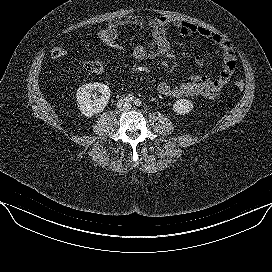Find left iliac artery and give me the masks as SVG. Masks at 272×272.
<instances>
[{
	"label": "left iliac artery",
	"instance_id": "1",
	"mask_svg": "<svg viewBox=\"0 0 272 272\" xmlns=\"http://www.w3.org/2000/svg\"><path fill=\"white\" fill-rule=\"evenodd\" d=\"M134 104L136 105V106H140L141 104H142V102H141V100L140 99H135L134 100Z\"/></svg>",
	"mask_w": 272,
	"mask_h": 272
}]
</instances>
